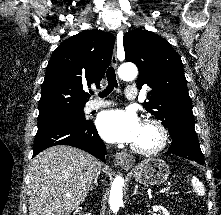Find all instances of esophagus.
Masks as SVG:
<instances>
[{
	"instance_id": "1",
	"label": "esophagus",
	"mask_w": 221,
	"mask_h": 215,
	"mask_svg": "<svg viewBox=\"0 0 221 215\" xmlns=\"http://www.w3.org/2000/svg\"><path fill=\"white\" fill-rule=\"evenodd\" d=\"M112 65L117 68L118 66V60H117V55H116V50H113L112 58H111ZM116 162L118 165L124 167V168H129L132 167L135 159L133 156L125 153V152H119L116 154Z\"/></svg>"
}]
</instances>
